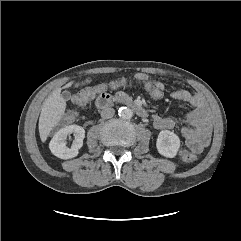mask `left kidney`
<instances>
[{"label":"left kidney","mask_w":241,"mask_h":241,"mask_svg":"<svg viewBox=\"0 0 241 241\" xmlns=\"http://www.w3.org/2000/svg\"><path fill=\"white\" fill-rule=\"evenodd\" d=\"M158 152L167 158H174L180 148L179 137L169 130H162L156 141Z\"/></svg>","instance_id":"1"}]
</instances>
